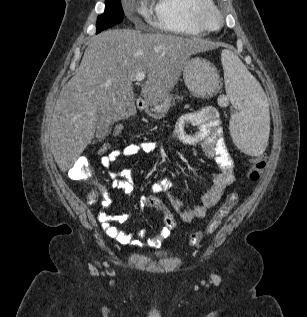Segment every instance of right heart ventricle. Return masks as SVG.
I'll use <instances>...</instances> for the list:
<instances>
[{
  "label": "right heart ventricle",
  "instance_id": "obj_1",
  "mask_svg": "<svg viewBox=\"0 0 307 317\" xmlns=\"http://www.w3.org/2000/svg\"><path fill=\"white\" fill-rule=\"evenodd\" d=\"M210 0H155L154 25L165 32L199 36L205 31L195 21L194 8Z\"/></svg>",
  "mask_w": 307,
  "mask_h": 317
}]
</instances>
